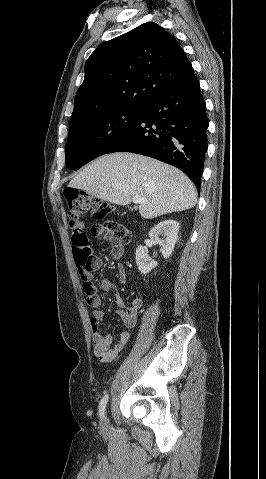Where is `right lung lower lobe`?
Segmentation results:
<instances>
[{
  "label": "right lung lower lobe",
  "mask_w": 266,
  "mask_h": 479,
  "mask_svg": "<svg viewBox=\"0 0 266 479\" xmlns=\"http://www.w3.org/2000/svg\"><path fill=\"white\" fill-rule=\"evenodd\" d=\"M208 119L195 75L155 95L135 124L104 154L132 152L182 170L200 191Z\"/></svg>",
  "instance_id": "98d812e1"
}]
</instances>
